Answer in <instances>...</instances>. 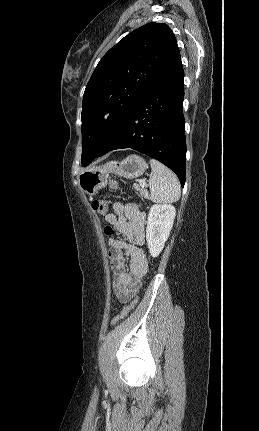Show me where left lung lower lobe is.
<instances>
[{
  "instance_id": "0a47b994",
  "label": "left lung lower lobe",
  "mask_w": 259,
  "mask_h": 431,
  "mask_svg": "<svg viewBox=\"0 0 259 431\" xmlns=\"http://www.w3.org/2000/svg\"><path fill=\"white\" fill-rule=\"evenodd\" d=\"M183 78L179 54L102 144L96 157L112 150L131 148L168 166L184 186L186 139L182 111Z\"/></svg>"
}]
</instances>
